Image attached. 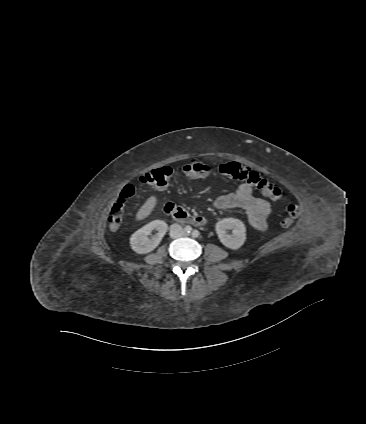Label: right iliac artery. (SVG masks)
<instances>
[{
	"mask_svg": "<svg viewBox=\"0 0 366 424\" xmlns=\"http://www.w3.org/2000/svg\"><path fill=\"white\" fill-rule=\"evenodd\" d=\"M185 232H186L187 234L191 233V232H192V227H191V226H186V227H185Z\"/></svg>",
	"mask_w": 366,
	"mask_h": 424,
	"instance_id": "82829eb1",
	"label": "right iliac artery"
}]
</instances>
